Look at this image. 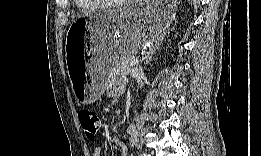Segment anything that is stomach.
<instances>
[{"instance_id": "stomach-1", "label": "stomach", "mask_w": 261, "mask_h": 156, "mask_svg": "<svg viewBox=\"0 0 261 156\" xmlns=\"http://www.w3.org/2000/svg\"><path fill=\"white\" fill-rule=\"evenodd\" d=\"M171 2H131L123 8L82 17L69 27L65 45L68 75L78 102H95L105 88L108 68L119 55H131L159 37L171 24ZM90 45L89 62L76 63L75 52Z\"/></svg>"}]
</instances>
